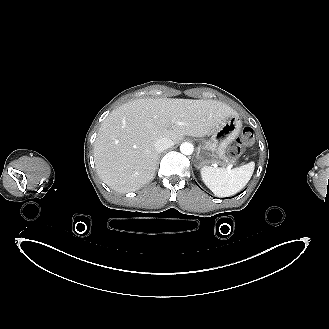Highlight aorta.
I'll list each match as a JSON object with an SVG mask.
<instances>
[{
    "label": "aorta",
    "instance_id": "aorta-1",
    "mask_svg": "<svg viewBox=\"0 0 329 329\" xmlns=\"http://www.w3.org/2000/svg\"><path fill=\"white\" fill-rule=\"evenodd\" d=\"M180 151L185 155H191L194 151V146L189 142H184L180 146Z\"/></svg>",
    "mask_w": 329,
    "mask_h": 329
}]
</instances>
